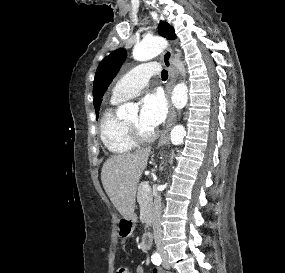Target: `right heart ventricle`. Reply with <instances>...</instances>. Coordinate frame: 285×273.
Listing matches in <instances>:
<instances>
[{
	"label": "right heart ventricle",
	"mask_w": 285,
	"mask_h": 273,
	"mask_svg": "<svg viewBox=\"0 0 285 273\" xmlns=\"http://www.w3.org/2000/svg\"><path fill=\"white\" fill-rule=\"evenodd\" d=\"M117 102H112V105ZM100 138L104 146L114 154H126L136 147L123 122L117 118L113 106L108 107L100 120Z\"/></svg>",
	"instance_id": "1"
}]
</instances>
